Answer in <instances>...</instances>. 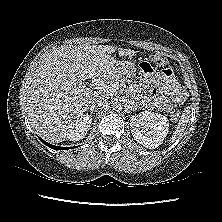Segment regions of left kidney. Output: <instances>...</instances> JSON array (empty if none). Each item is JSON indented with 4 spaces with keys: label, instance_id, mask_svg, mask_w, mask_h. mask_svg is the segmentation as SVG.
<instances>
[{
    "label": "left kidney",
    "instance_id": "1",
    "mask_svg": "<svg viewBox=\"0 0 222 222\" xmlns=\"http://www.w3.org/2000/svg\"><path fill=\"white\" fill-rule=\"evenodd\" d=\"M130 127L137 142L146 148L155 149L168 134L169 120L162 114L144 111L132 116Z\"/></svg>",
    "mask_w": 222,
    "mask_h": 222
}]
</instances>
